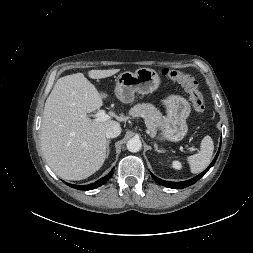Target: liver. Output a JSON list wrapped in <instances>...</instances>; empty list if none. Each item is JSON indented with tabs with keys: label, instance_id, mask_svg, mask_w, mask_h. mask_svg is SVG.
<instances>
[{
	"label": "liver",
	"instance_id": "6515ba94",
	"mask_svg": "<svg viewBox=\"0 0 253 253\" xmlns=\"http://www.w3.org/2000/svg\"><path fill=\"white\" fill-rule=\"evenodd\" d=\"M119 69L90 70L91 79L110 77ZM108 94L99 91L83 73L61 77L48 96L41 124L40 143L51 169L67 180L85 179L103 165L107 154L105 132L117 121L86 116L103 105ZM121 120V118H117Z\"/></svg>",
	"mask_w": 253,
	"mask_h": 253
}]
</instances>
